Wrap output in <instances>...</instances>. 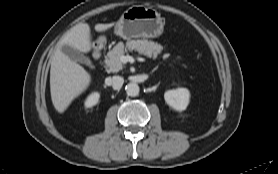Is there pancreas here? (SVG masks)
<instances>
[{"mask_svg":"<svg viewBox=\"0 0 278 174\" xmlns=\"http://www.w3.org/2000/svg\"><path fill=\"white\" fill-rule=\"evenodd\" d=\"M133 50L148 57L156 58L159 54H161L163 46L146 39L130 40L126 44L119 42L107 53V57L105 59V66L107 70L110 72H119L122 70L123 64L121 62V56H123L125 52H132ZM168 56V54H165L163 58H168Z\"/></svg>","mask_w":278,"mask_h":174,"instance_id":"obj_1","label":"pancreas"}]
</instances>
